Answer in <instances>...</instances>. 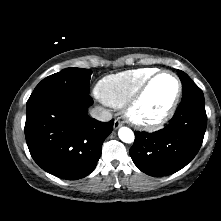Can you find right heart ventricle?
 Segmentation results:
<instances>
[{"label": "right heart ventricle", "instance_id": "1", "mask_svg": "<svg viewBox=\"0 0 221 221\" xmlns=\"http://www.w3.org/2000/svg\"><path fill=\"white\" fill-rule=\"evenodd\" d=\"M155 72V68L144 67L105 76L96 85V95L109 106L123 107L142 83Z\"/></svg>", "mask_w": 221, "mask_h": 221}]
</instances>
